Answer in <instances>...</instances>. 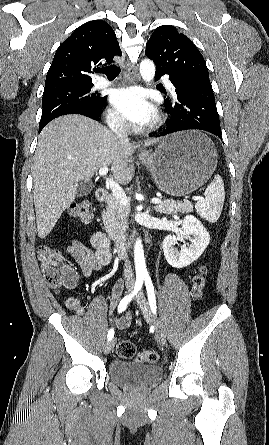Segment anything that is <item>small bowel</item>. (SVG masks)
Returning <instances> with one entry per match:
<instances>
[{"mask_svg":"<svg viewBox=\"0 0 269 445\" xmlns=\"http://www.w3.org/2000/svg\"><path fill=\"white\" fill-rule=\"evenodd\" d=\"M66 253L78 264L83 276L87 279L92 276L94 271H100L111 262L109 241L106 235L102 232H96L92 236L90 245L78 240L73 241L66 248ZM66 271L67 274L72 276L76 282L77 275L75 271L69 266H66ZM123 288V280H119L114 284L112 288V298L109 311L110 320H115L117 327L120 329L127 328L131 323V313H128L122 318L115 319L116 308ZM65 303L69 310L73 311L77 315H84L85 309L78 298L69 297L66 299Z\"/></svg>","mask_w":269,"mask_h":445,"instance_id":"c3829d8e","label":"small bowel"}]
</instances>
